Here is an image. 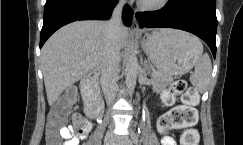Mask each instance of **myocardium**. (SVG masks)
I'll use <instances>...</instances> for the list:
<instances>
[{
	"mask_svg": "<svg viewBox=\"0 0 243 145\" xmlns=\"http://www.w3.org/2000/svg\"><path fill=\"white\" fill-rule=\"evenodd\" d=\"M169 4V0L143 1L139 0V7L145 11H159Z\"/></svg>",
	"mask_w": 243,
	"mask_h": 145,
	"instance_id": "myocardium-1",
	"label": "myocardium"
}]
</instances>
